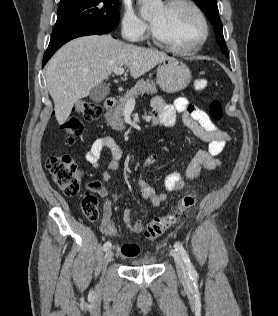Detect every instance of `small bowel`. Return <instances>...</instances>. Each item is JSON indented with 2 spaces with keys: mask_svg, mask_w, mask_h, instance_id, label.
Segmentation results:
<instances>
[{
  "mask_svg": "<svg viewBox=\"0 0 278 316\" xmlns=\"http://www.w3.org/2000/svg\"><path fill=\"white\" fill-rule=\"evenodd\" d=\"M152 107L155 112L156 121L166 127H173L176 123V115L181 114L184 125L201 141L207 143L206 149L195 152L190 159L184 175L179 170H172L164 180L167 192L180 190L186 180H194L202 173L214 170L219 164L218 156L225 146L230 142L231 136L224 130L217 127L210 116L196 104L185 97H180L173 104L166 103L161 97L152 99ZM109 150L113 160L108 165L107 171L103 174L105 182L112 181L111 172L119 169V161L122 158V150L109 135L96 138L85 153V159L93 168L100 167L102 152ZM159 159V154L149 155L143 162L144 167H150ZM138 185L141 189L142 198L153 207L160 206L166 199V192H156L153 186L145 179H139ZM105 195V192L102 191ZM123 223L133 234H140L143 230V221L131 222V210L126 208L123 212ZM101 231L107 236H117L118 230L112 220V201L107 200L104 205L103 218L100 222ZM119 252L124 255L121 249ZM125 256V255H124ZM129 257V256H127Z\"/></svg>",
  "mask_w": 278,
  "mask_h": 316,
  "instance_id": "c3829d8e",
  "label": "small bowel"
}]
</instances>
